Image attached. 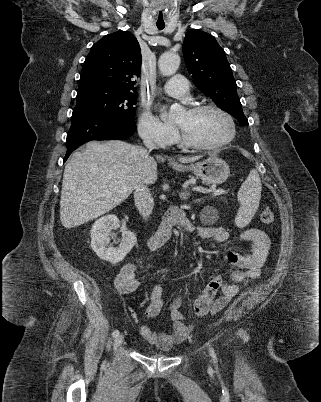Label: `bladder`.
<instances>
[{"label": "bladder", "mask_w": 321, "mask_h": 402, "mask_svg": "<svg viewBox=\"0 0 321 402\" xmlns=\"http://www.w3.org/2000/svg\"><path fill=\"white\" fill-rule=\"evenodd\" d=\"M157 355L165 356V355H167V353H161V354H157Z\"/></svg>", "instance_id": "bladder-1"}]
</instances>
